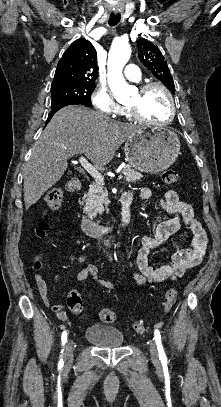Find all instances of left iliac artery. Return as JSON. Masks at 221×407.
<instances>
[{"instance_id":"44dca946","label":"left iliac artery","mask_w":221,"mask_h":407,"mask_svg":"<svg viewBox=\"0 0 221 407\" xmlns=\"http://www.w3.org/2000/svg\"><path fill=\"white\" fill-rule=\"evenodd\" d=\"M154 337H155V341L158 347V351H159V359L161 360V362H167V357L164 353V349L161 343V335L159 330L155 329L154 331Z\"/></svg>"}]
</instances>
